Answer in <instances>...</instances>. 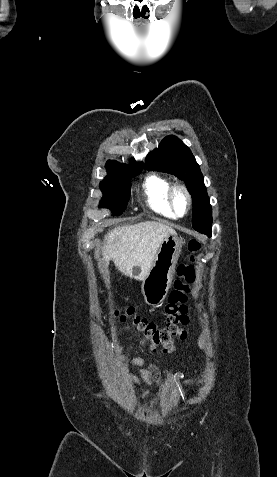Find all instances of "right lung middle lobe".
<instances>
[{
    "label": "right lung middle lobe",
    "instance_id": "1",
    "mask_svg": "<svg viewBox=\"0 0 277 477\" xmlns=\"http://www.w3.org/2000/svg\"><path fill=\"white\" fill-rule=\"evenodd\" d=\"M142 169L112 170L100 183L104 196L99 207L111 208L115 215H120L126 208L130 197L131 177L138 175Z\"/></svg>",
    "mask_w": 277,
    "mask_h": 477
}]
</instances>
